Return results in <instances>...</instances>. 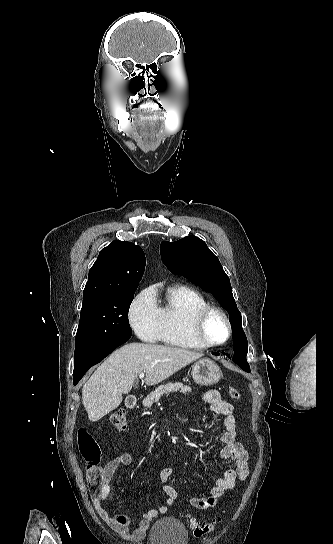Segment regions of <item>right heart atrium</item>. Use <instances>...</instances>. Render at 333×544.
Listing matches in <instances>:
<instances>
[{
  "label": "right heart atrium",
  "mask_w": 333,
  "mask_h": 544,
  "mask_svg": "<svg viewBox=\"0 0 333 544\" xmlns=\"http://www.w3.org/2000/svg\"><path fill=\"white\" fill-rule=\"evenodd\" d=\"M129 322L141 340L154 343L161 338L162 320L153 289L146 288L135 297L129 310Z\"/></svg>",
  "instance_id": "obj_1"
}]
</instances>
